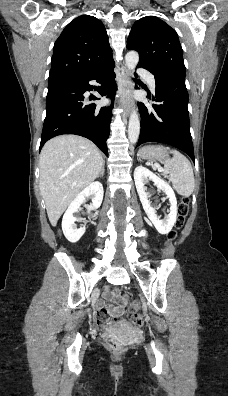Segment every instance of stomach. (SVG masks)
<instances>
[{
	"mask_svg": "<svg viewBox=\"0 0 228 396\" xmlns=\"http://www.w3.org/2000/svg\"><path fill=\"white\" fill-rule=\"evenodd\" d=\"M139 156L143 159L163 161L168 158V152L163 146H146L140 149Z\"/></svg>",
	"mask_w": 228,
	"mask_h": 396,
	"instance_id": "0dacf381",
	"label": "stomach"
}]
</instances>
